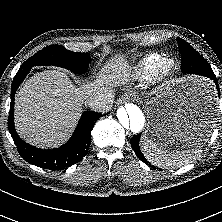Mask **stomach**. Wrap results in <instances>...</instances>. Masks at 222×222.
Listing matches in <instances>:
<instances>
[{"mask_svg":"<svg viewBox=\"0 0 222 222\" xmlns=\"http://www.w3.org/2000/svg\"><path fill=\"white\" fill-rule=\"evenodd\" d=\"M215 104L209 81L192 76L169 81L146 103V136L168 148L201 149L214 126Z\"/></svg>","mask_w":222,"mask_h":222,"instance_id":"0dacf381","label":"stomach"}]
</instances>
